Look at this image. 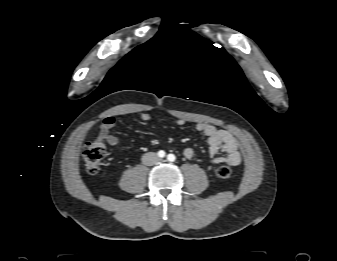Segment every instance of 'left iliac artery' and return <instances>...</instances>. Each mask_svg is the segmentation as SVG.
I'll use <instances>...</instances> for the list:
<instances>
[{
    "label": "left iliac artery",
    "instance_id": "left-iliac-artery-1",
    "mask_svg": "<svg viewBox=\"0 0 337 261\" xmlns=\"http://www.w3.org/2000/svg\"><path fill=\"white\" fill-rule=\"evenodd\" d=\"M167 159H168V161H170V162H174V161L176 160V157H175L174 154H169V155L167 156Z\"/></svg>",
    "mask_w": 337,
    "mask_h": 261
}]
</instances>
